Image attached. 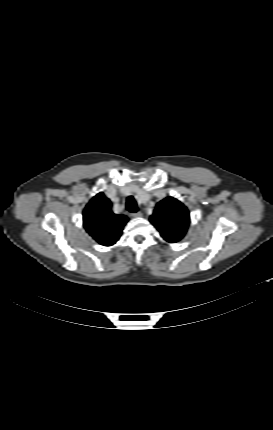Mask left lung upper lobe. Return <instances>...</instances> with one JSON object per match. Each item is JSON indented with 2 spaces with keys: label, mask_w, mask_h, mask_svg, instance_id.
Returning a JSON list of instances; mask_svg holds the SVG:
<instances>
[{
  "label": "left lung upper lobe",
  "mask_w": 273,
  "mask_h": 430,
  "mask_svg": "<svg viewBox=\"0 0 273 430\" xmlns=\"http://www.w3.org/2000/svg\"><path fill=\"white\" fill-rule=\"evenodd\" d=\"M150 222L170 243L182 239L189 225V212L177 199L167 197L157 203Z\"/></svg>",
  "instance_id": "5c2ea615"
}]
</instances>
